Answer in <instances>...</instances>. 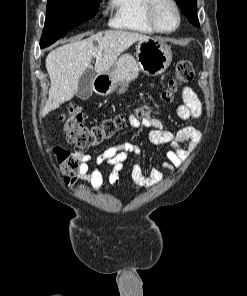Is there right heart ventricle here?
<instances>
[{"label":"right heart ventricle","instance_id":"e07e8e85","mask_svg":"<svg viewBox=\"0 0 247 296\" xmlns=\"http://www.w3.org/2000/svg\"><path fill=\"white\" fill-rule=\"evenodd\" d=\"M147 3L148 0H110L111 26L141 34L155 33L146 16Z\"/></svg>","mask_w":247,"mask_h":296}]
</instances>
